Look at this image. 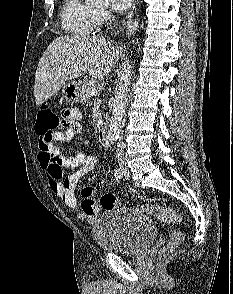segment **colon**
I'll use <instances>...</instances> for the list:
<instances>
[{"mask_svg": "<svg viewBox=\"0 0 233 294\" xmlns=\"http://www.w3.org/2000/svg\"><path fill=\"white\" fill-rule=\"evenodd\" d=\"M60 121H65V118H60L49 107L44 106L38 112L35 132L39 137V146L41 150L51 149L53 142L56 140V136L65 130L60 126ZM45 155L46 157L52 156L51 154ZM99 205L106 210L114 209L118 206V199L113 194H104L100 198ZM142 208L146 213L153 215L162 222L181 224L183 221L181 215L168 206L145 204ZM182 236L181 232L174 233L172 245L177 244L182 239Z\"/></svg>", "mask_w": 233, "mask_h": 294, "instance_id": "obj_1", "label": "colon"}]
</instances>
